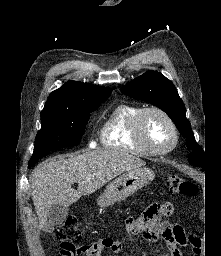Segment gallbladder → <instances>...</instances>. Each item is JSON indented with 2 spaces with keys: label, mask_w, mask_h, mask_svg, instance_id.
<instances>
[{
  "label": "gallbladder",
  "mask_w": 221,
  "mask_h": 256,
  "mask_svg": "<svg viewBox=\"0 0 221 256\" xmlns=\"http://www.w3.org/2000/svg\"><path fill=\"white\" fill-rule=\"evenodd\" d=\"M68 214V207L59 204L53 205L49 210L48 222L44 228V231L52 232L54 230V226L62 224L67 218Z\"/></svg>",
  "instance_id": "bac80fb5"
}]
</instances>
